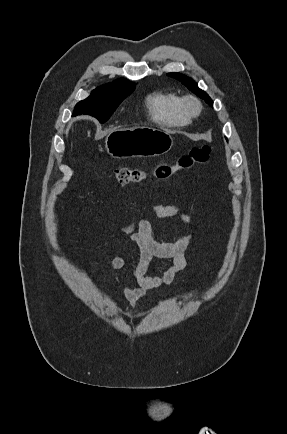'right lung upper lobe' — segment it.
<instances>
[{
  "label": "right lung upper lobe",
  "instance_id": "1",
  "mask_svg": "<svg viewBox=\"0 0 287 434\" xmlns=\"http://www.w3.org/2000/svg\"><path fill=\"white\" fill-rule=\"evenodd\" d=\"M110 84L124 85V84H132V83L124 79H118L114 83H110Z\"/></svg>",
  "mask_w": 287,
  "mask_h": 434
}]
</instances>
